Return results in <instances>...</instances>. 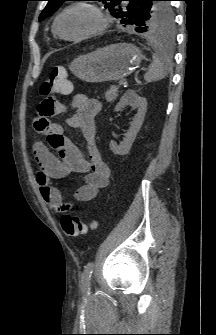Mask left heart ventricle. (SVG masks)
<instances>
[{
  "mask_svg": "<svg viewBox=\"0 0 216 335\" xmlns=\"http://www.w3.org/2000/svg\"><path fill=\"white\" fill-rule=\"evenodd\" d=\"M96 25V16L84 8L69 10L59 20V30L68 37L81 35Z\"/></svg>",
  "mask_w": 216,
  "mask_h": 335,
  "instance_id": "1",
  "label": "left heart ventricle"
}]
</instances>
